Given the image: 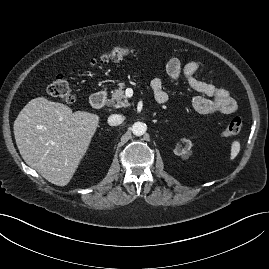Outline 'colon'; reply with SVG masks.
<instances>
[{
  "mask_svg": "<svg viewBox=\"0 0 269 269\" xmlns=\"http://www.w3.org/2000/svg\"><path fill=\"white\" fill-rule=\"evenodd\" d=\"M136 53L133 47H113L109 50H105L97 57L90 60V64L107 63L109 61H120L123 58ZM49 94L59 99L64 103H73L75 95L71 88L70 83L61 75L56 76L48 87ZM243 129V122L241 118H232L225 128L222 130L221 135L224 137L238 134Z\"/></svg>",
  "mask_w": 269,
  "mask_h": 269,
  "instance_id": "1",
  "label": "colon"
}]
</instances>
